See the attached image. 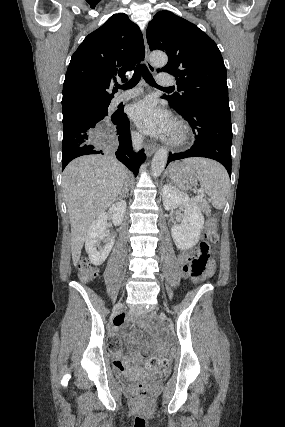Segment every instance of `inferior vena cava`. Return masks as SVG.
Returning a JSON list of instances; mask_svg holds the SVG:
<instances>
[{
  "label": "inferior vena cava",
  "instance_id": "1",
  "mask_svg": "<svg viewBox=\"0 0 285 427\" xmlns=\"http://www.w3.org/2000/svg\"><path fill=\"white\" fill-rule=\"evenodd\" d=\"M142 144H143V137L140 134H136L132 137V145H133V149L134 151H139L142 148ZM128 186V180L125 183V189Z\"/></svg>",
  "mask_w": 285,
  "mask_h": 427
}]
</instances>
